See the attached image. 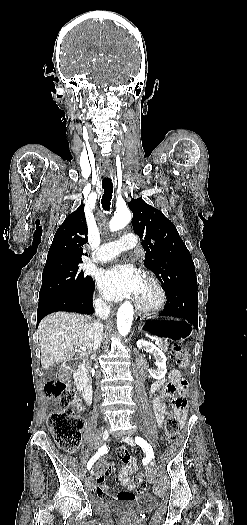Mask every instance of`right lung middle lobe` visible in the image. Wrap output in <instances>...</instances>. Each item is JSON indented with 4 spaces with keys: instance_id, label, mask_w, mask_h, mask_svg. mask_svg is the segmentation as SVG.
<instances>
[{
    "instance_id": "right-lung-middle-lobe-1",
    "label": "right lung middle lobe",
    "mask_w": 247,
    "mask_h": 525,
    "mask_svg": "<svg viewBox=\"0 0 247 525\" xmlns=\"http://www.w3.org/2000/svg\"><path fill=\"white\" fill-rule=\"evenodd\" d=\"M92 282V278L85 276L79 266L43 271L39 301L56 295L84 293Z\"/></svg>"
}]
</instances>
